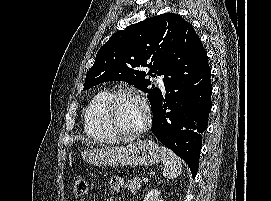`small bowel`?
<instances>
[{
    "label": "small bowel",
    "mask_w": 271,
    "mask_h": 201,
    "mask_svg": "<svg viewBox=\"0 0 271 201\" xmlns=\"http://www.w3.org/2000/svg\"><path fill=\"white\" fill-rule=\"evenodd\" d=\"M124 186V180L121 177H113L110 179V187L115 192H120Z\"/></svg>",
    "instance_id": "small-bowel-1"
}]
</instances>
